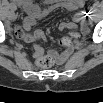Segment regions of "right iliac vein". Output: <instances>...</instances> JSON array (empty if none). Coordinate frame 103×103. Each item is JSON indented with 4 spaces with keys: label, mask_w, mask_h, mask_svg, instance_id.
I'll use <instances>...</instances> for the list:
<instances>
[{
    "label": "right iliac vein",
    "mask_w": 103,
    "mask_h": 103,
    "mask_svg": "<svg viewBox=\"0 0 103 103\" xmlns=\"http://www.w3.org/2000/svg\"><path fill=\"white\" fill-rule=\"evenodd\" d=\"M8 18L11 19V20H13L15 18V14L13 12H10L8 14Z\"/></svg>",
    "instance_id": "obj_1"
}]
</instances>
